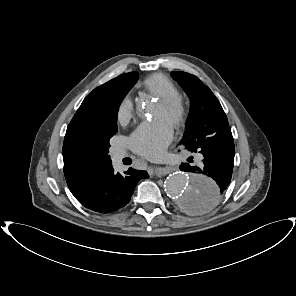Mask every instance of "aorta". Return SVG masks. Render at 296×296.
Returning <instances> with one entry per match:
<instances>
[{"mask_svg": "<svg viewBox=\"0 0 296 296\" xmlns=\"http://www.w3.org/2000/svg\"><path fill=\"white\" fill-rule=\"evenodd\" d=\"M165 192L176 207L189 214H202L217 202V184L212 178L173 172L165 180Z\"/></svg>", "mask_w": 296, "mask_h": 296, "instance_id": "762f6f07", "label": "aorta"}]
</instances>
